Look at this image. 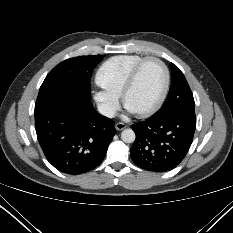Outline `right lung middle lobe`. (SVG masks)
<instances>
[{"mask_svg":"<svg viewBox=\"0 0 233 233\" xmlns=\"http://www.w3.org/2000/svg\"><path fill=\"white\" fill-rule=\"evenodd\" d=\"M102 58V55L80 56L58 64L42 83L35 107L54 98L76 97L91 100V73Z\"/></svg>","mask_w":233,"mask_h":233,"instance_id":"1","label":"right lung middle lobe"}]
</instances>
